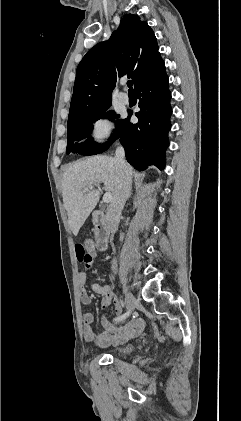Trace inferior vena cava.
Returning a JSON list of instances; mask_svg holds the SVG:
<instances>
[{
  "label": "inferior vena cava",
  "mask_w": 241,
  "mask_h": 421,
  "mask_svg": "<svg viewBox=\"0 0 241 421\" xmlns=\"http://www.w3.org/2000/svg\"><path fill=\"white\" fill-rule=\"evenodd\" d=\"M114 159L118 168L119 180L106 212L107 226L112 234L118 230L121 212L129 197L132 183L129 166L125 161V151L122 146L117 147ZM112 270L114 272L117 270V261L115 259L112 261Z\"/></svg>",
  "instance_id": "inferior-vena-cava-1"
}]
</instances>
